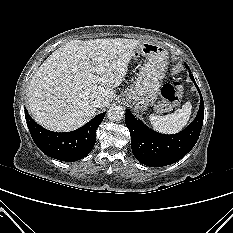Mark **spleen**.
I'll use <instances>...</instances> for the list:
<instances>
[{
  "label": "spleen",
  "instance_id": "1",
  "mask_svg": "<svg viewBox=\"0 0 233 233\" xmlns=\"http://www.w3.org/2000/svg\"><path fill=\"white\" fill-rule=\"evenodd\" d=\"M192 111L191 102H186L182 108L166 116L151 114L149 116L152 127L165 134H174L181 131L189 121Z\"/></svg>",
  "mask_w": 233,
  "mask_h": 233
}]
</instances>
